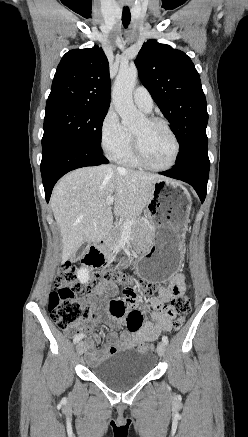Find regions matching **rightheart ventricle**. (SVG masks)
<instances>
[{
  "label": "right heart ventricle",
  "mask_w": 248,
  "mask_h": 437,
  "mask_svg": "<svg viewBox=\"0 0 248 437\" xmlns=\"http://www.w3.org/2000/svg\"><path fill=\"white\" fill-rule=\"evenodd\" d=\"M118 159L120 162H122L123 164L128 165V166L139 165V162L136 159L134 152H133L132 142H131L129 148L127 149V151L124 154H122Z\"/></svg>",
  "instance_id": "obj_1"
}]
</instances>
